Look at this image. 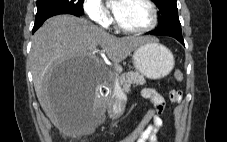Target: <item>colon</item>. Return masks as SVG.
Here are the masks:
<instances>
[{"label": "colon", "instance_id": "obj_1", "mask_svg": "<svg viewBox=\"0 0 227 142\" xmlns=\"http://www.w3.org/2000/svg\"><path fill=\"white\" fill-rule=\"evenodd\" d=\"M182 78V73L180 71H177L175 73V79L177 81H181ZM157 115V109L155 107L150 108L148 111H146V113L141 118L139 123L135 126V128L117 142H138L142 135L145 133V131L154 122Z\"/></svg>", "mask_w": 227, "mask_h": 142}]
</instances>
